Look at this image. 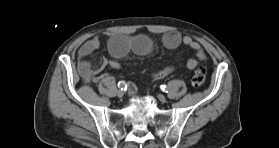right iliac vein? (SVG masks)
Returning <instances> with one entry per match:
<instances>
[{
	"label": "right iliac vein",
	"instance_id": "right-iliac-vein-1",
	"mask_svg": "<svg viewBox=\"0 0 279 148\" xmlns=\"http://www.w3.org/2000/svg\"><path fill=\"white\" fill-rule=\"evenodd\" d=\"M123 95H124V92H123L122 90H118V91H117V96H118V97L121 98V97H123Z\"/></svg>",
	"mask_w": 279,
	"mask_h": 148
}]
</instances>
